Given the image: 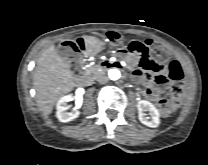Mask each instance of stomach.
<instances>
[{
	"label": "stomach",
	"instance_id": "1",
	"mask_svg": "<svg viewBox=\"0 0 208 165\" xmlns=\"http://www.w3.org/2000/svg\"><path fill=\"white\" fill-rule=\"evenodd\" d=\"M84 43L93 51H99L104 47V42L95 36H85Z\"/></svg>",
	"mask_w": 208,
	"mask_h": 165
}]
</instances>
